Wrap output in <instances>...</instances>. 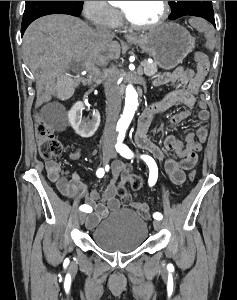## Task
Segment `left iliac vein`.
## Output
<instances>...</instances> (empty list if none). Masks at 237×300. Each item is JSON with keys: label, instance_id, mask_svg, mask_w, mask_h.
<instances>
[{"label": "left iliac vein", "instance_id": "left-iliac-vein-1", "mask_svg": "<svg viewBox=\"0 0 237 300\" xmlns=\"http://www.w3.org/2000/svg\"><path fill=\"white\" fill-rule=\"evenodd\" d=\"M115 155H116V152L113 151L112 154H111V158H114ZM153 225H154L155 230H159V229L162 227V222L159 221V220H155V221L153 222Z\"/></svg>", "mask_w": 237, "mask_h": 300}]
</instances>
